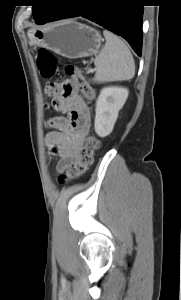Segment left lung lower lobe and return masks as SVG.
Wrapping results in <instances>:
<instances>
[{"instance_id": "1", "label": "left lung lower lobe", "mask_w": 181, "mask_h": 300, "mask_svg": "<svg viewBox=\"0 0 181 300\" xmlns=\"http://www.w3.org/2000/svg\"><path fill=\"white\" fill-rule=\"evenodd\" d=\"M77 16L87 18L122 36L133 50L141 55L143 33L141 0H70L58 5L45 23Z\"/></svg>"}]
</instances>
